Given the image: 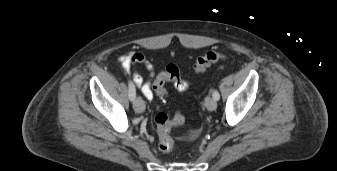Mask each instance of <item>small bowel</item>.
I'll use <instances>...</instances> for the list:
<instances>
[{"instance_id": "small-bowel-1", "label": "small bowel", "mask_w": 337, "mask_h": 171, "mask_svg": "<svg viewBox=\"0 0 337 171\" xmlns=\"http://www.w3.org/2000/svg\"><path fill=\"white\" fill-rule=\"evenodd\" d=\"M121 69L128 75H133L136 86L141 90L144 97L152 100L154 97V83L159 76L155 73L154 67L148 62L145 55L140 52L130 51L118 59ZM136 65H143L149 73V79L145 80L143 76L134 71Z\"/></svg>"}]
</instances>
